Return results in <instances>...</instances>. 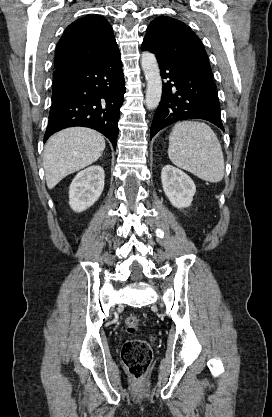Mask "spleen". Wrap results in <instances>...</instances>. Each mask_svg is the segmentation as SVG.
<instances>
[{"instance_id": "1", "label": "spleen", "mask_w": 272, "mask_h": 417, "mask_svg": "<svg viewBox=\"0 0 272 417\" xmlns=\"http://www.w3.org/2000/svg\"><path fill=\"white\" fill-rule=\"evenodd\" d=\"M168 156L174 165L198 178L220 182L224 177V157L220 142L205 123L183 121L169 136Z\"/></svg>"}]
</instances>
